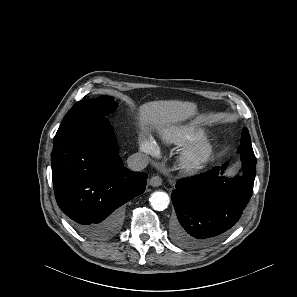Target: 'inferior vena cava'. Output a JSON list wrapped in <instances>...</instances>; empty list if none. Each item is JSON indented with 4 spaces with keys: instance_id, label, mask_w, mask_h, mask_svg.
<instances>
[{
    "instance_id": "602c4592",
    "label": "inferior vena cava",
    "mask_w": 297,
    "mask_h": 297,
    "mask_svg": "<svg viewBox=\"0 0 297 297\" xmlns=\"http://www.w3.org/2000/svg\"><path fill=\"white\" fill-rule=\"evenodd\" d=\"M149 163L147 155L143 153H134L127 159V165L132 171H141Z\"/></svg>"
}]
</instances>
